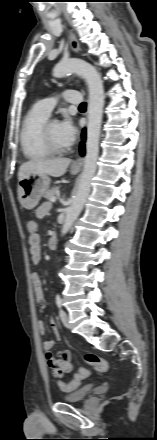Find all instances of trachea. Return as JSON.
<instances>
[{
	"mask_svg": "<svg viewBox=\"0 0 157 440\" xmlns=\"http://www.w3.org/2000/svg\"><path fill=\"white\" fill-rule=\"evenodd\" d=\"M79 108H86V103L85 102L81 103Z\"/></svg>",
	"mask_w": 157,
	"mask_h": 440,
	"instance_id": "1",
	"label": "trachea"
}]
</instances>
